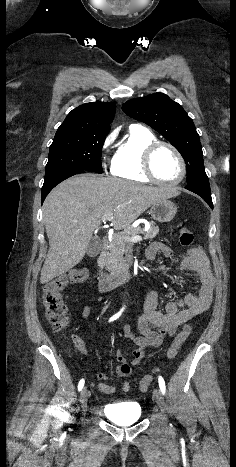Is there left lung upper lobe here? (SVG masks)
<instances>
[{"label": "left lung upper lobe", "mask_w": 236, "mask_h": 467, "mask_svg": "<svg viewBox=\"0 0 236 467\" xmlns=\"http://www.w3.org/2000/svg\"><path fill=\"white\" fill-rule=\"evenodd\" d=\"M130 117L151 126L182 155L187 168V184L208 182L199 135L184 109L163 93L135 98L123 104Z\"/></svg>", "instance_id": "obj_1"}]
</instances>
